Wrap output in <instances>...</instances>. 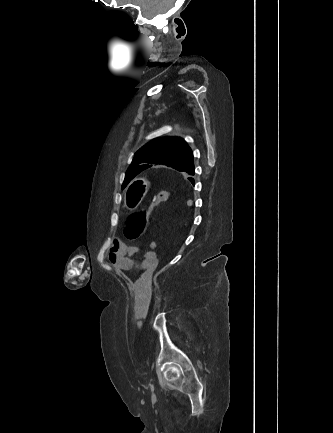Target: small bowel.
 <instances>
[{
  "label": "small bowel",
  "instance_id": "small-bowel-1",
  "mask_svg": "<svg viewBox=\"0 0 333 433\" xmlns=\"http://www.w3.org/2000/svg\"><path fill=\"white\" fill-rule=\"evenodd\" d=\"M108 253L112 265L124 270L141 271L144 275L152 274L159 265L155 242L151 244V250L144 253L139 260L134 258L140 253V248L137 246L116 243L110 247ZM132 296L134 301L133 315L138 320L137 327L140 328L142 326L141 320L148 315L151 302L155 296V290L152 287L133 289Z\"/></svg>",
  "mask_w": 333,
  "mask_h": 433
}]
</instances>
